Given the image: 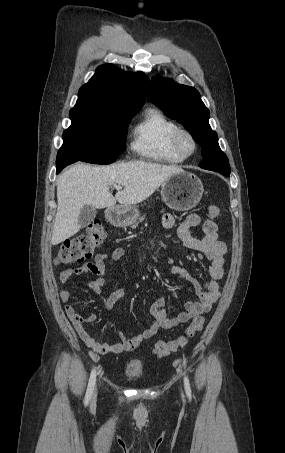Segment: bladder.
Wrapping results in <instances>:
<instances>
[{"label": "bladder", "instance_id": "1", "mask_svg": "<svg viewBox=\"0 0 285 453\" xmlns=\"http://www.w3.org/2000/svg\"><path fill=\"white\" fill-rule=\"evenodd\" d=\"M144 368L142 363L137 361L129 362L125 367V374L133 379L140 378L143 375Z\"/></svg>", "mask_w": 285, "mask_h": 453}]
</instances>
